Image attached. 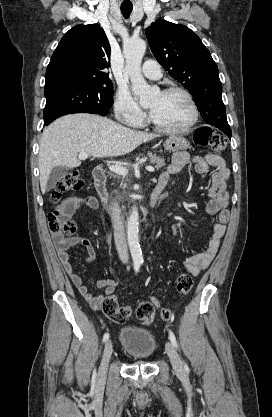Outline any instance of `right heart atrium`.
<instances>
[{
	"label": "right heart atrium",
	"mask_w": 272,
	"mask_h": 417,
	"mask_svg": "<svg viewBox=\"0 0 272 417\" xmlns=\"http://www.w3.org/2000/svg\"><path fill=\"white\" fill-rule=\"evenodd\" d=\"M114 112L121 122L129 126H138L145 118L144 111L139 107L131 93L123 88L116 92Z\"/></svg>",
	"instance_id": "obj_1"
}]
</instances>
